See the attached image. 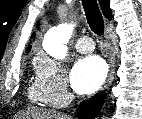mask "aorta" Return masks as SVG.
I'll use <instances>...</instances> for the list:
<instances>
[{"label": "aorta", "instance_id": "obj_1", "mask_svg": "<svg viewBox=\"0 0 142 119\" xmlns=\"http://www.w3.org/2000/svg\"><path fill=\"white\" fill-rule=\"evenodd\" d=\"M74 26V23H65L49 29L42 44L47 54L55 59H64L66 57V44L72 36Z\"/></svg>", "mask_w": 142, "mask_h": 119}]
</instances>
